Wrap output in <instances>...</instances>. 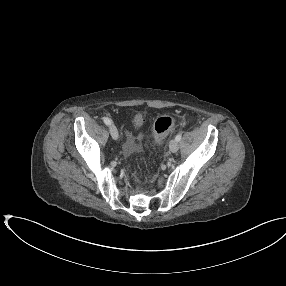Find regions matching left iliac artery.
<instances>
[{"label":"left iliac artery","mask_w":286,"mask_h":286,"mask_svg":"<svg viewBox=\"0 0 286 286\" xmlns=\"http://www.w3.org/2000/svg\"><path fill=\"white\" fill-rule=\"evenodd\" d=\"M181 137H182V133L179 132L175 137L176 141L179 142L181 140Z\"/></svg>","instance_id":"left-iliac-artery-1"}]
</instances>
